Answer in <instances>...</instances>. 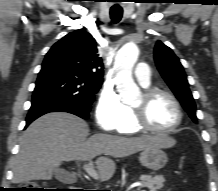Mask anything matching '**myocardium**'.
<instances>
[{
    "mask_svg": "<svg viewBox=\"0 0 218 191\" xmlns=\"http://www.w3.org/2000/svg\"><path fill=\"white\" fill-rule=\"evenodd\" d=\"M157 96H165L167 97L175 106L177 111V121L176 123L165 129L155 128L153 127L147 117V106L148 104ZM144 104L140 107H132L133 111V119L137 128L141 131L151 132L155 134H170L175 132L183 122V109L180 102L177 98L166 90H162L159 88H149L143 92Z\"/></svg>",
    "mask_w": 218,
    "mask_h": 191,
    "instance_id": "f54148a6",
    "label": "myocardium"
}]
</instances>
